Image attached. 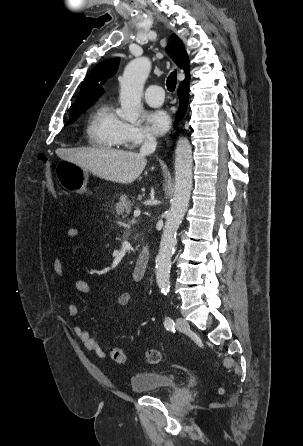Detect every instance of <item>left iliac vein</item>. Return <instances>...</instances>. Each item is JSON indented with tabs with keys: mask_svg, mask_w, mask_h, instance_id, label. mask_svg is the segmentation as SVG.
Here are the masks:
<instances>
[{
	"mask_svg": "<svg viewBox=\"0 0 303 446\" xmlns=\"http://www.w3.org/2000/svg\"><path fill=\"white\" fill-rule=\"evenodd\" d=\"M176 326L179 331H186L189 329L188 321L181 317L177 318Z\"/></svg>",
	"mask_w": 303,
	"mask_h": 446,
	"instance_id": "left-iliac-vein-1",
	"label": "left iliac vein"
}]
</instances>
